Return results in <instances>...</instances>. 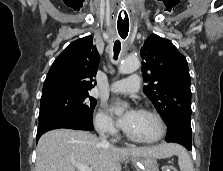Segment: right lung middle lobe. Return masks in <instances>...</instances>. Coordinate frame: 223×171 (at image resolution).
Instances as JSON below:
<instances>
[{"instance_id":"1","label":"right lung middle lobe","mask_w":223,"mask_h":171,"mask_svg":"<svg viewBox=\"0 0 223 171\" xmlns=\"http://www.w3.org/2000/svg\"><path fill=\"white\" fill-rule=\"evenodd\" d=\"M96 100L89 92H65L41 98L39 121L56 114L68 113L92 121Z\"/></svg>"}]
</instances>
